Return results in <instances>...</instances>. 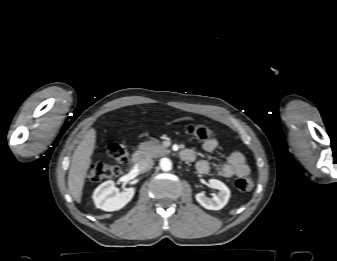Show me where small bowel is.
Wrapping results in <instances>:
<instances>
[{
    "label": "small bowel",
    "instance_id": "obj_1",
    "mask_svg": "<svg viewBox=\"0 0 337 261\" xmlns=\"http://www.w3.org/2000/svg\"><path fill=\"white\" fill-rule=\"evenodd\" d=\"M217 146L218 142L214 138L206 140L202 145L203 149L208 153L215 151ZM181 154L185 155L184 160L186 161L192 162L196 159V152L193 149H185ZM196 169L201 174H210L216 170L217 173L224 178L233 176L244 177L250 172L245 156L238 151L230 153L227 161L217 168H213L207 160H199L196 163Z\"/></svg>",
    "mask_w": 337,
    "mask_h": 261
}]
</instances>
